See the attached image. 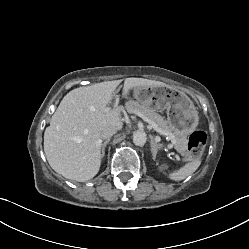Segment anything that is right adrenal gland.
I'll return each mask as SVG.
<instances>
[{"instance_id":"2a0ac1e0","label":"right adrenal gland","mask_w":249,"mask_h":249,"mask_svg":"<svg viewBox=\"0 0 249 249\" xmlns=\"http://www.w3.org/2000/svg\"><path fill=\"white\" fill-rule=\"evenodd\" d=\"M109 141H110L109 139L106 140V141H104L103 144H102V146H101V157H102V158H103L104 155H105V147H106V145L108 144Z\"/></svg>"}]
</instances>
